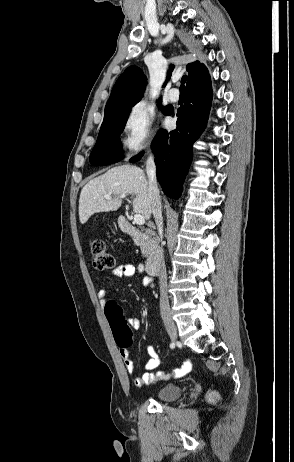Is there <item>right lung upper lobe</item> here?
<instances>
[{
  "mask_svg": "<svg viewBox=\"0 0 294 462\" xmlns=\"http://www.w3.org/2000/svg\"><path fill=\"white\" fill-rule=\"evenodd\" d=\"M174 66L170 65L167 80L170 79ZM188 81L187 86L202 76L208 74L204 64L196 61L187 65ZM166 84V83H165ZM164 84V86H165ZM146 78L140 68L128 67L116 81L110 98L106 104L104 118L123 113L132 108L143 96Z\"/></svg>",
  "mask_w": 294,
  "mask_h": 462,
  "instance_id": "cb5924a9",
  "label": "right lung upper lobe"
}]
</instances>
